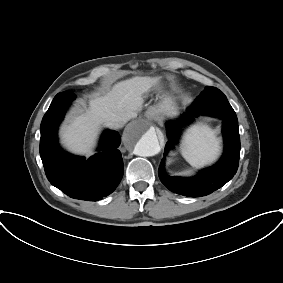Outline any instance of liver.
I'll list each match as a JSON object with an SVG mask.
<instances>
[{
    "label": "liver",
    "instance_id": "obj_1",
    "mask_svg": "<svg viewBox=\"0 0 283 283\" xmlns=\"http://www.w3.org/2000/svg\"><path fill=\"white\" fill-rule=\"evenodd\" d=\"M157 78L134 77L115 84L105 96L90 100L89 108L70 118L61 128L64 146L73 153L91 155L99 126L109 122H128L137 117L144 103V94L156 84Z\"/></svg>",
    "mask_w": 283,
    "mask_h": 283
}]
</instances>
